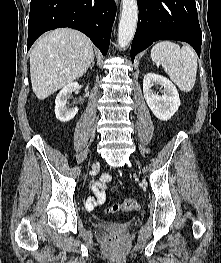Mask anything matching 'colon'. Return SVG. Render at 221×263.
Returning a JSON list of instances; mask_svg holds the SVG:
<instances>
[{"label":"colon","instance_id":"colon-1","mask_svg":"<svg viewBox=\"0 0 221 263\" xmlns=\"http://www.w3.org/2000/svg\"><path fill=\"white\" fill-rule=\"evenodd\" d=\"M139 203L135 198H126L122 200L120 203H116L111 205L106 209V213L114 214L118 212L127 213L132 212L138 209Z\"/></svg>","mask_w":221,"mask_h":263}]
</instances>
